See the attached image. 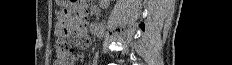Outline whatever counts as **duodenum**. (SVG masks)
I'll return each instance as SVG.
<instances>
[{"label":"duodenum","mask_w":232,"mask_h":65,"mask_svg":"<svg viewBox=\"0 0 232 65\" xmlns=\"http://www.w3.org/2000/svg\"><path fill=\"white\" fill-rule=\"evenodd\" d=\"M79 25H80V30L83 32L86 29V26H87L86 20L84 18H82Z\"/></svg>","instance_id":"duodenum-1"}]
</instances>
